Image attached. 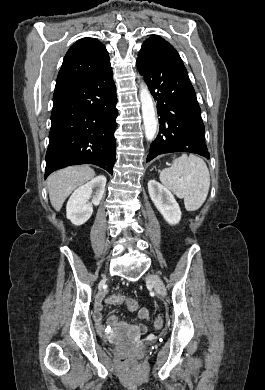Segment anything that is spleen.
Returning <instances> with one entry per match:
<instances>
[{"mask_svg": "<svg viewBox=\"0 0 265 390\" xmlns=\"http://www.w3.org/2000/svg\"><path fill=\"white\" fill-rule=\"evenodd\" d=\"M160 181L178 198L184 199L187 211L198 210L205 202L210 186L206 163L193 154L175 158L170 168L160 172Z\"/></svg>", "mask_w": 265, "mask_h": 390, "instance_id": "1", "label": "spleen"}]
</instances>
